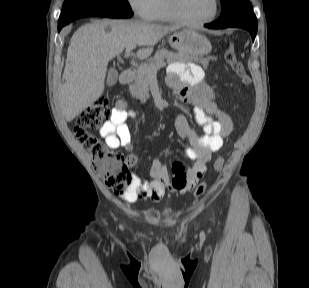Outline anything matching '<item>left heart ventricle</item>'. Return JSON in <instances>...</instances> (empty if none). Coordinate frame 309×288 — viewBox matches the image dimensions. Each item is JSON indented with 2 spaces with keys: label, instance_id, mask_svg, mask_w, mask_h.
Instances as JSON below:
<instances>
[{
  "label": "left heart ventricle",
  "instance_id": "left-heart-ventricle-1",
  "mask_svg": "<svg viewBox=\"0 0 309 288\" xmlns=\"http://www.w3.org/2000/svg\"><path fill=\"white\" fill-rule=\"evenodd\" d=\"M181 15L192 21L207 18L213 11V0H178Z\"/></svg>",
  "mask_w": 309,
  "mask_h": 288
}]
</instances>
